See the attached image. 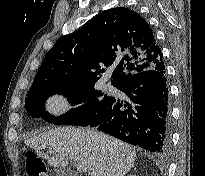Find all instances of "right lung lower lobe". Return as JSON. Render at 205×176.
<instances>
[{
	"instance_id": "right-lung-lower-lobe-1",
	"label": "right lung lower lobe",
	"mask_w": 205,
	"mask_h": 176,
	"mask_svg": "<svg viewBox=\"0 0 205 176\" xmlns=\"http://www.w3.org/2000/svg\"><path fill=\"white\" fill-rule=\"evenodd\" d=\"M117 89L128 101L113 97L86 125L150 152L170 147L169 89L165 65L136 73Z\"/></svg>"
}]
</instances>
